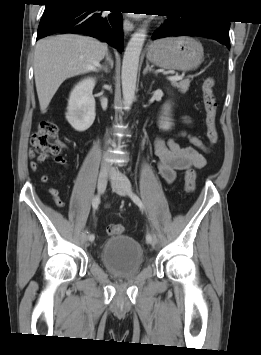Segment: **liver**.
Masks as SVG:
<instances>
[{
  "label": "liver",
  "instance_id": "obj_1",
  "mask_svg": "<svg viewBox=\"0 0 261 355\" xmlns=\"http://www.w3.org/2000/svg\"><path fill=\"white\" fill-rule=\"evenodd\" d=\"M108 51L107 44L81 35L41 39L34 53V76L42 113L68 78L95 71Z\"/></svg>",
  "mask_w": 261,
  "mask_h": 355
}]
</instances>
